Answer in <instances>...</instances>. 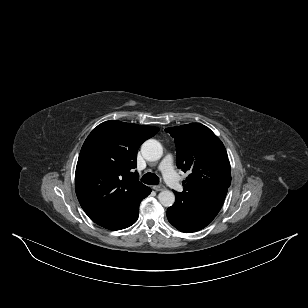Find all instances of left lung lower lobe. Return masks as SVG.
Returning a JSON list of instances; mask_svg holds the SVG:
<instances>
[{
    "label": "left lung lower lobe",
    "instance_id": "1",
    "mask_svg": "<svg viewBox=\"0 0 308 308\" xmlns=\"http://www.w3.org/2000/svg\"><path fill=\"white\" fill-rule=\"evenodd\" d=\"M174 193L176 201L167 209V218L179 231L191 233L212 222L223 205L227 189L188 202Z\"/></svg>",
    "mask_w": 308,
    "mask_h": 308
}]
</instances>
